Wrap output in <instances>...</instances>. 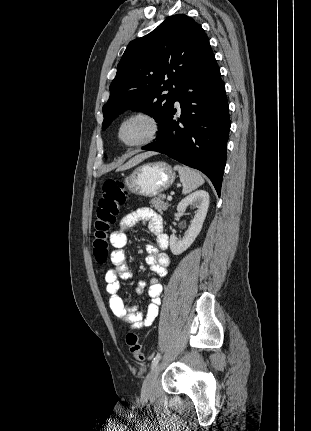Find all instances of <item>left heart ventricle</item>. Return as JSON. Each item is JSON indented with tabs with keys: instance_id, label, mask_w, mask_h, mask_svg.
<instances>
[{
	"instance_id": "b2bd125f",
	"label": "left heart ventricle",
	"mask_w": 311,
	"mask_h": 431,
	"mask_svg": "<svg viewBox=\"0 0 311 431\" xmlns=\"http://www.w3.org/2000/svg\"><path fill=\"white\" fill-rule=\"evenodd\" d=\"M152 132V123L144 117H131L119 127V136L126 143H134L147 138Z\"/></svg>"
}]
</instances>
